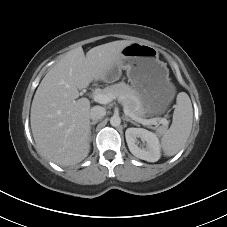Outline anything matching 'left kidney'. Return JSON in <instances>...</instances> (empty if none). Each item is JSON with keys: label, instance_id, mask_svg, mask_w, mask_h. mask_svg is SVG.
<instances>
[{"label": "left kidney", "instance_id": "5707ae66", "mask_svg": "<svg viewBox=\"0 0 227 227\" xmlns=\"http://www.w3.org/2000/svg\"><path fill=\"white\" fill-rule=\"evenodd\" d=\"M130 152L142 160L156 162L160 159V143L157 135L143 128H128L125 132ZM146 142V148L138 146V139Z\"/></svg>", "mask_w": 227, "mask_h": 227}]
</instances>
